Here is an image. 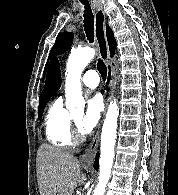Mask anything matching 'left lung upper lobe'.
Listing matches in <instances>:
<instances>
[{
  "label": "left lung upper lobe",
  "instance_id": "obj_1",
  "mask_svg": "<svg viewBox=\"0 0 178 195\" xmlns=\"http://www.w3.org/2000/svg\"><path fill=\"white\" fill-rule=\"evenodd\" d=\"M74 34L70 32H63L59 34L56 38L55 44L51 49L50 55L53 53H64L68 50L73 42ZM47 66V65H46ZM46 72V67L44 70V76Z\"/></svg>",
  "mask_w": 178,
  "mask_h": 195
}]
</instances>
